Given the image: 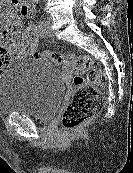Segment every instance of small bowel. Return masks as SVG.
<instances>
[{
    "instance_id": "small-bowel-1",
    "label": "small bowel",
    "mask_w": 133,
    "mask_h": 173,
    "mask_svg": "<svg viewBox=\"0 0 133 173\" xmlns=\"http://www.w3.org/2000/svg\"><path fill=\"white\" fill-rule=\"evenodd\" d=\"M12 3L14 0H12ZM22 15L24 13L20 8ZM2 29L7 31V40L0 43V49H3L7 56L13 57H29L34 56L38 44L35 27L28 26L21 32V24L17 15H11L6 20V25Z\"/></svg>"
}]
</instances>
